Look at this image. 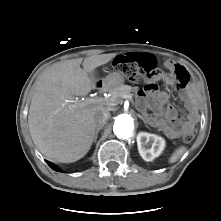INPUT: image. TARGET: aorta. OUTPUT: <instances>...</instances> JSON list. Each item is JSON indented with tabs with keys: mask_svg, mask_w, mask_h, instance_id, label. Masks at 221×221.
I'll use <instances>...</instances> for the list:
<instances>
[{
	"mask_svg": "<svg viewBox=\"0 0 221 221\" xmlns=\"http://www.w3.org/2000/svg\"><path fill=\"white\" fill-rule=\"evenodd\" d=\"M113 130L118 138H129L134 130V119L129 114H120L115 118Z\"/></svg>",
	"mask_w": 221,
	"mask_h": 221,
	"instance_id": "aorta-1",
	"label": "aorta"
}]
</instances>
